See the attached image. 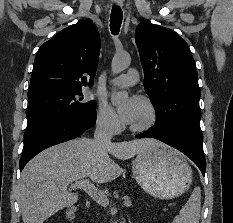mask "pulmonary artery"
I'll return each mask as SVG.
<instances>
[{
	"instance_id": "pulmonary-artery-1",
	"label": "pulmonary artery",
	"mask_w": 233,
	"mask_h": 223,
	"mask_svg": "<svg viewBox=\"0 0 233 223\" xmlns=\"http://www.w3.org/2000/svg\"><path fill=\"white\" fill-rule=\"evenodd\" d=\"M138 79V71L135 69H130L126 74L113 79V82L119 86H131L136 84Z\"/></svg>"
}]
</instances>
